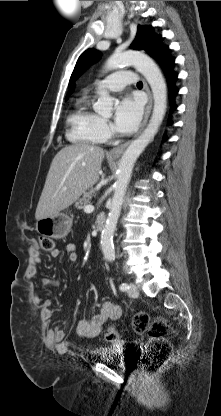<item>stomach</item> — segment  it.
Wrapping results in <instances>:
<instances>
[{
	"label": "stomach",
	"mask_w": 221,
	"mask_h": 416,
	"mask_svg": "<svg viewBox=\"0 0 221 416\" xmlns=\"http://www.w3.org/2000/svg\"><path fill=\"white\" fill-rule=\"evenodd\" d=\"M71 226L72 219L64 213H58L39 219L36 223V230L43 237L61 239L69 233Z\"/></svg>",
	"instance_id": "0dacf381"
}]
</instances>
